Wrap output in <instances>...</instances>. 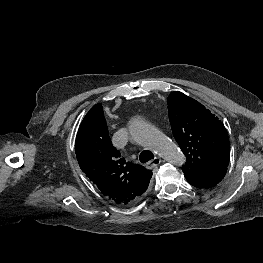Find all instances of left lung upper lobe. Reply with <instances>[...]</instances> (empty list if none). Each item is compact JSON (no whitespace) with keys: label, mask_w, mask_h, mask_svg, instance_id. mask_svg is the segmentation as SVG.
Here are the masks:
<instances>
[{"label":"left lung upper lobe","mask_w":263,"mask_h":263,"mask_svg":"<svg viewBox=\"0 0 263 263\" xmlns=\"http://www.w3.org/2000/svg\"><path fill=\"white\" fill-rule=\"evenodd\" d=\"M168 112L173 136L187 157L182 169L227 171L230 144L224 124L181 92L170 93Z\"/></svg>","instance_id":"5c2ea615"}]
</instances>
